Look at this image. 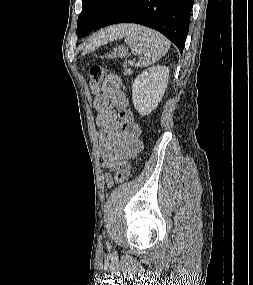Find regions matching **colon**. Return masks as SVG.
<instances>
[{
    "label": "colon",
    "instance_id": "5ec220e1",
    "mask_svg": "<svg viewBox=\"0 0 253 285\" xmlns=\"http://www.w3.org/2000/svg\"><path fill=\"white\" fill-rule=\"evenodd\" d=\"M107 74V69L100 65H93L90 68V81L89 86L93 93H97L100 90L101 82ZM133 173V167L131 163L124 159L119 162L115 180L118 184L124 183L128 180Z\"/></svg>",
    "mask_w": 253,
    "mask_h": 285
}]
</instances>
